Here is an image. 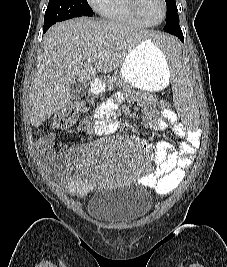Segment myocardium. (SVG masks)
Segmentation results:
<instances>
[{"label":"myocardium","mask_w":227,"mask_h":267,"mask_svg":"<svg viewBox=\"0 0 227 267\" xmlns=\"http://www.w3.org/2000/svg\"><path fill=\"white\" fill-rule=\"evenodd\" d=\"M162 3V8H163V14H162V18L160 19V21L156 22V23H151L148 22L145 17L143 16V14L140 11V0H129L130 2V8L133 12V14L141 21L143 22L145 25L147 26H157L159 24H161L166 16H167V2L166 0H160Z\"/></svg>","instance_id":"f54148a6"}]
</instances>
